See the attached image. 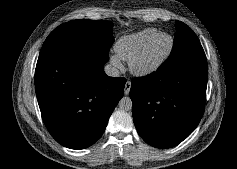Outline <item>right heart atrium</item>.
I'll list each match as a JSON object with an SVG mask.
<instances>
[{"label": "right heart atrium", "instance_id": "obj_1", "mask_svg": "<svg viewBox=\"0 0 237 169\" xmlns=\"http://www.w3.org/2000/svg\"><path fill=\"white\" fill-rule=\"evenodd\" d=\"M110 63L116 69L122 68V60L117 55L110 56Z\"/></svg>", "mask_w": 237, "mask_h": 169}]
</instances>
